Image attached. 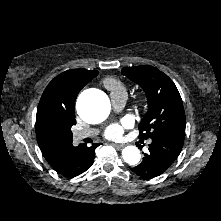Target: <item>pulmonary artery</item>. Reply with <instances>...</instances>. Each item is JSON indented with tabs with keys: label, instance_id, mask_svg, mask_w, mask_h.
I'll list each match as a JSON object with an SVG mask.
<instances>
[{
	"label": "pulmonary artery",
	"instance_id": "e3ab8cb5",
	"mask_svg": "<svg viewBox=\"0 0 221 221\" xmlns=\"http://www.w3.org/2000/svg\"><path fill=\"white\" fill-rule=\"evenodd\" d=\"M126 99H127L126 93L118 92L111 94V103L116 111H119L124 107ZM98 133L99 130L96 128H86L83 130L74 131L73 137L75 140H82L84 138L97 136Z\"/></svg>",
	"mask_w": 221,
	"mask_h": 221
}]
</instances>
